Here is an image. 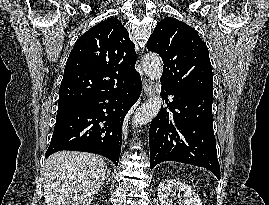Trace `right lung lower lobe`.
<instances>
[{
	"mask_svg": "<svg viewBox=\"0 0 269 205\" xmlns=\"http://www.w3.org/2000/svg\"><path fill=\"white\" fill-rule=\"evenodd\" d=\"M140 93L141 77L134 71L114 90L58 104L45 157L61 150L83 151L105 156L117 166L123 120Z\"/></svg>",
	"mask_w": 269,
	"mask_h": 205,
	"instance_id": "right-lung-lower-lobe-1",
	"label": "right lung lower lobe"
}]
</instances>
